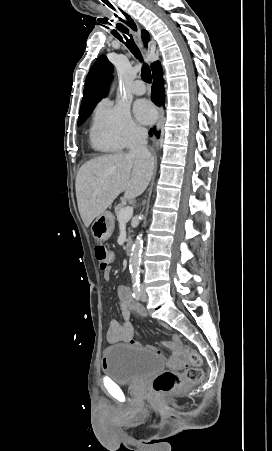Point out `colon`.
<instances>
[{"label":"colon","instance_id":"colon-1","mask_svg":"<svg viewBox=\"0 0 272 451\" xmlns=\"http://www.w3.org/2000/svg\"><path fill=\"white\" fill-rule=\"evenodd\" d=\"M95 255L100 269H106L111 261L108 249L103 245H98L95 247ZM173 358L174 365L183 366L184 370L182 372L165 370L155 377L152 385L154 390L160 394L170 393L179 386L198 383L203 377L201 365H194V362L199 363L200 359L188 346L181 345L180 351Z\"/></svg>","mask_w":272,"mask_h":451}]
</instances>
